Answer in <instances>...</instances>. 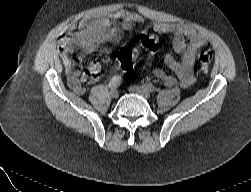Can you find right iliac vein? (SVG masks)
<instances>
[{
  "mask_svg": "<svg viewBox=\"0 0 251 192\" xmlns=\"http://www.w3.org/2000/svg\"><path fill=\"white\" fill-rule=\"evenodd\" d=\"M110 95H111L112 98L117 99L119 97V92H118L117 89H112L110 91Z\"/></svg>",
  "mask_w": 251,
  "mask_h": 192,
  "instance_id": "obj_1",
  "label": "right iliac vein"
}]
</instances>
